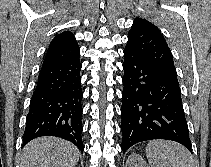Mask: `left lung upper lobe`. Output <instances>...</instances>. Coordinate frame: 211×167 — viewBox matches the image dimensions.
Returning a JSON list of instances; mask_svg holds the SVG:
<instances>
[{
	"instance_id": "left-lung-upper-lobe-1",
	"label": "left lung upper lobe",
	"mask_w": 211,
	"mask_h": 167,
	"mask_svg": "<svg viewBox=\"0 0 211 167\" xmlns=\"http://www.w3.org/2000/svg\"><path fill=\"white\" fill-rule=\"evenodd\" d=\"M124 52L144 59L179 84L172 53L161 31L149 21L138 17L134 19Z\"/></svg>"
}]
</instances>
